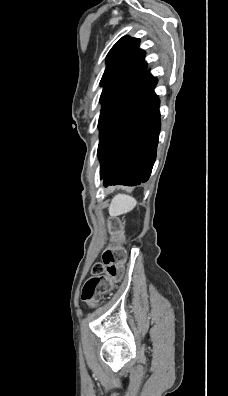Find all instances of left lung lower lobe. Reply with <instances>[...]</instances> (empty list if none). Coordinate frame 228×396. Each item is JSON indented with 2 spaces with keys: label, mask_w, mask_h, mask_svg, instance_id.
<instances>
[{
  "label": "left lung lower lobe",
  "mask_w": 228,
  "mask_h": 396,
  "mask_svg": "<svg viewBox=\"0 0 228 396\" xmlns=\"http://www.w3.org/2000/svg\"><path fill=\"white\" fill-rule=\"evenodd\" d=\"M157 79L146 71L100 126V177L108 185H140L151 174L160 132Z\"/></svg>",
  "instance_id": "left-lung-lower-lobe-1"
}]
</instances>
